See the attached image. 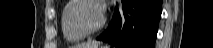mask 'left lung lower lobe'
Listing matches in <instances>:
<instances>
[{
  "instance_id": "0a47b994",
  "label": "left lung lower lobe",
  "mask_w": 213,
  "mask_h": 48,
  "mask_svg": "<svg viewBox=\"0 0 213 48\" xmlns=\"http://www.w3.org/2000/svg\"><path fill=\"white\" fill-rule=\"evenodd\" d=\"M108 28L97 37L116 48H154L162 0H121Z\"/></svg>"
}]
</instances>
